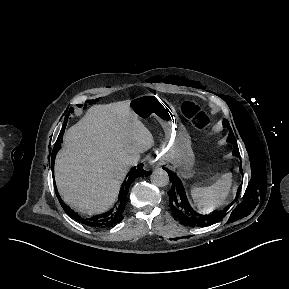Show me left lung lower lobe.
<instances>
[{
	"mask_svg": "<svg viewBox=\"0 0 289 289\" xmlns=\"http://www.w3.org/2000/svg\"><path fill=\"white\" fill-rule=\"evenodd\" d=\"M242 172V168H240ZM169 178L172 179V188L168 192L170 198V207L174 218L178 217L179 221L187 226L205 227L223 218L224 215H201L196 213L189 205L184 187L180 179L171 171L166 169Z\"/></svg>",
	"mask_w": 289,
	"mask_h": 289,
	"instance_id": "1",
	"label": "left lung lower lobe"
}]
</instances>
